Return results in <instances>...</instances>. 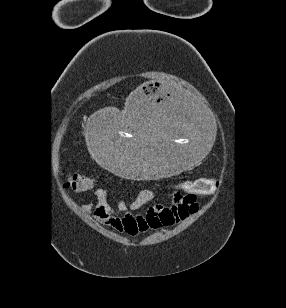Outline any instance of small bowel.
<instances>
[{
  "label": "small bowel",
  "instance_id": "obj_1",
  "mask_svg": "<svg viewBox=\"0 0 286 308\" xmlns=\"http://www.w3.org/2000/svg\"><path fill=\"white\" fill-rule=\"evenodd\" d=\"M154 198L155 192L145 188L138 192L130 204L120 201L112 207L107 201V190L99 187L95 190L93 201L82 205L81 210L90 212L97 222L119 233L137 237L149 230L172 227L194 215L199 208L197 193L188 190L182 183L171 205H155L145 214L138 213Z\"/></svg>",
  "mask_w": 286,
  "mask_h": 308
}]
</instances>
